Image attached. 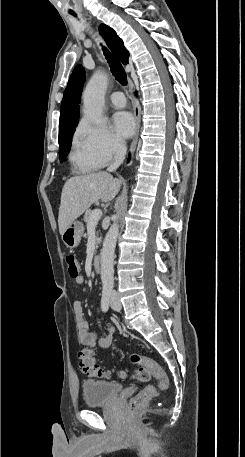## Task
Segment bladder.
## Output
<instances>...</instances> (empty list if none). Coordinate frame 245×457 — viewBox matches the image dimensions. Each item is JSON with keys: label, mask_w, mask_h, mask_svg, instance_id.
I'll use <instances>...</instances> for the list:
<instances>
[{"label": "bladder", "mask_w": 245, "mask_h": 457, "mask_svg": "<svg viewBox=\"0 0 245 457\" xmlns=\"http://www.w3.org/2000/svg\"><path fill=\"white\" fill-rule=\"evenodd\" d=\"M85 406L110 402L113 395H118L121 385L116 382L89 380L83 383Z\"/></svg>", "instance_id": "1"}]
</instances>
